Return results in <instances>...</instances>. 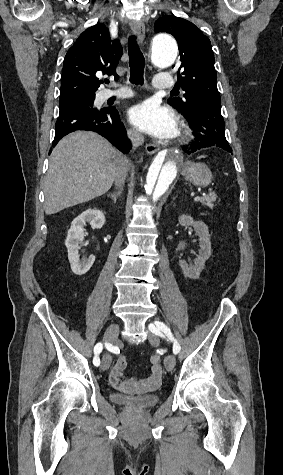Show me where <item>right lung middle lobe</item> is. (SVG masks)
I'll return each mask as SVG.
<instances>
[{
  "mask_svg": "<svg viewBox=\"0 0 283 475\" xmlns=\"http://www.w3.org/2000/svg\"><path fill=\"white\" fill-rule=\"evenodd\" d=\"M95 99V93L85 92L76 89H64L60 93V106L66 105L72 102H86L93 104Z\"/></svg>",
  "mask_w": 283,
  "mask_h": 475,
  "instance_id": "1",
  "label": "right lung middle lobe"
}]
</instances>
